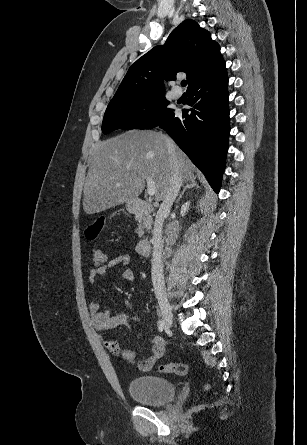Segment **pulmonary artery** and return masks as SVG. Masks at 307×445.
<instances>
[{"instance_id": "pulmonary-artery-1", "label": "pulmonary artery", "mask_w": 307, "mask_h": 445, "mask_svg": "<svg viewBox=\"0 0 307 445\" xmlns=\"http://www.w3.org/2000/svg\"><path fill=\"white\" fill-rule=\"evenodd\" d=\"M171 94H172L175 98L180 97V95H181V91H180V89L178 88V86H174V87L171 88Z\"/></svg>"}]
</instances>
